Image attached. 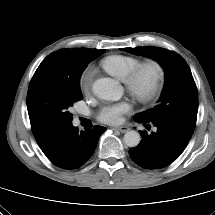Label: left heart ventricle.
Returning <instances> with one entry per match:
<instances>
[{
	"label": "left heart ventricle",
	"mask_w": 215,
	"mask_h": 215,
	"mask_svg": "<svg viewBox=\"0 0 215 215\" xmlns=\"http://www.w3.org/2000/svg\"><path fill=\"white\" fill-rule=\"evenodd\" d=\"M151 78H152V72L150 70L145 71L141 77V84L144 87H147L151 82Z\"/></svg>",
	"instance_id": "left-heart-ventricle-1"
}]
</instances>
